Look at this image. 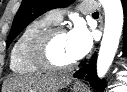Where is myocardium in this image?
Segmentation results:
<instances>
[{"instance_id": "1", "label": "myocardium", "mask_w": 127, "mask_h": 92, "mask_svg": "<svg viewBox=\"0 0 127 92\" xmlns=\"http://www.w3.org/2000/svg\"><path fill=\"white\" fill-rule=\"evenodd\" d=\"M66 33V29L60 25H52L43 29L34 38L31 45V57L34 63L42 70L55 73H65L72 70L77 62L60 65L51 57V45L56 35Z\"/></svg>"}]
</instances>
